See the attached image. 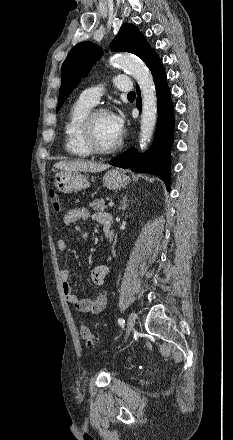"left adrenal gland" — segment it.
I'll return each instance as SVG.
<instances>
[{"mask_svg":"<svg viewBox=\"0 0 233 440\" xmlns=\"http://www.w3.org/2000/svg\"><path fill=\"white\" fill-rule=\"evenodd\" d=\"M128 207L127 204V196H125L121 202V207L119 209H122V211H125V209Z\"/></svg>","mask_w":233,"mask_h":440,"instance_id":"1","label":"left adrenal gland"}]
</instances>
